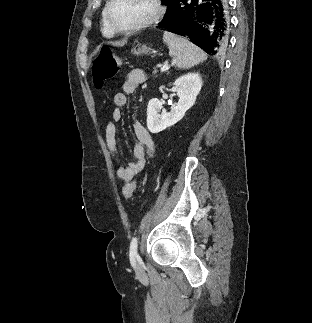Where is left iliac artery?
Here are the masks:
<instances>
[{
    "instance_id": "obj_1",
    "label": "left iliac artery",
    "mask_w": 312,
    "mask_h": 323,
    "mask_svg": "<svg viewBox=\"0 0 312 323\" xmlns=\"http://www.w3.org/2000/svg\"><path fill=\"white\" fill-rule=\"evenodd\" d=\"M137 238L134 237L130 243V261L132 264H134L135 258L138 256L137 255Z\"/></svg>"
}]
</instances>
